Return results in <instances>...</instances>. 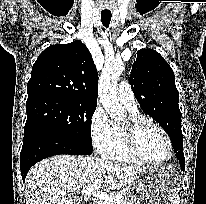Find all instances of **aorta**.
<instances>
[{"instance_id":"1","label":"aorta","mask_w":206,"mask_h":204,"mask_svg":"<svg viewBox=\"0 0 206 204\" xmlns=\"http://www.w3.org/2000/svg\"><path fill=\"white\" fill-rule=\"evenodd\" d=\"M124 69L121 59H115L105 63L102 70L98 93L100 101L109 116L114 120H120L125 116V109L117 96V82Z\"/></svg>"}]
</instances>
